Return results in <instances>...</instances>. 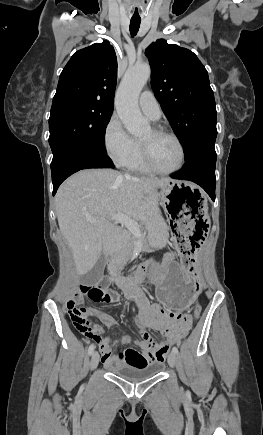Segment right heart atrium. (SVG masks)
Returning a JSON list of instances; mask_svg holds the SVG:
<instances>
[{
  "instance_id": "right-heart-atrium-1",
  "label": "right heart atrium",
  "mask_w": 263,
  "mask_h": 435,
  "mask_svg": "<svg viewBox=\"0 0 263 435\" xmlns=\"http://www.w3.org/2000/svg\"><path fill=\"white\" fill-rule=\"evenodd\" d=\"M103 144L107 155L119 166H126L135 156L137 142L124 128L117 115H112L103 132Z\"/></svg>"
}]
</instances>
